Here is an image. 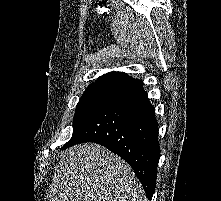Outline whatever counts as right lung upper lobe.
I'll return each mask as SVG.
<instances>
[{
	"label": "right lung upper lobe",
	"instance_id": "1",
	"mask_svg": "<svg viewBox=\"0 0 221 201\" xmlns=\"http://www.w3.org/2000/svg\"><path fill=\"white\" fill-rule=\"evenodd\" d=\"M134 80L136 79L122 72H109L99 77L96 82L90 84L88 88L106 87L120 89Z\"/></svg>",
	"mask_w": 221,
	"mask_h": 201
}]
</instances>
